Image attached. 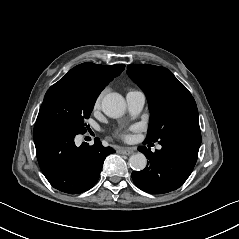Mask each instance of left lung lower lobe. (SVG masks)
<instances>
[{
    "label": "left lung lower lobe",
    "instance_id": "1",
    "mask_svg": "<svg viewBox=\"0 0 239 239\" xmlns=\"http://www.w3.org/2000/svg\"><path fill=\"white\" fill-rule=\"evenodd\" d=\"M159 144L162 148L155 153L145 146L138 148L149 161L143 171L132 172L135 185L151 194L176 190L187 180L197 161L200 129L183 127L174 130L162 136Z\"/></svg>",
    "mask_w": 239,
    "mask_h": 239
}]
</instances>
